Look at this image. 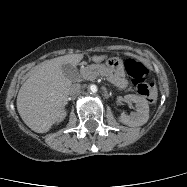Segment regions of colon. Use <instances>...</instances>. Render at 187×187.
<instances>
[{
    "label": "colon",
    "instance_id": "obj_1",
    "mask_svg": "<svg viewBox=\"0 0 187 187\" xmlns=\"http://www.w3.org/2000/svg\"><path fill=\"white\" fill-rule=\"evenodd\" d=\"M125 68L135 85L137 93L148 102H154L157 94L154 85L146 79L148 70L145 64L139 59L129 58L125 62Z\"/></svg>",
    "mask_w": 187,
    "mask_h": 187
}]
</instances>
